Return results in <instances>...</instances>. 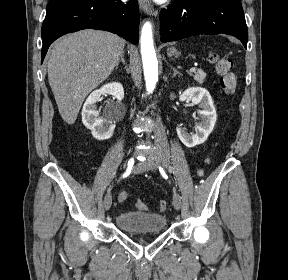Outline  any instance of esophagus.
<instances>
[{
	"label": "esophagus",
	"instance_id": "34e87169",
	"mask_svg": "<svg viewBox=\"0 0 288 280\" xmlns=\"http://www.w3.org/2000/svg\"><path fill=\"white\" fill-rule=\"evenodd\" d=\"M139 5L141 9L147 13L148 15H153L154 14V9L153 6L150 2V0H139Z\"/></svg>",
	"mask_w": 288,
	"mask_h": 280
}]
</instances>
